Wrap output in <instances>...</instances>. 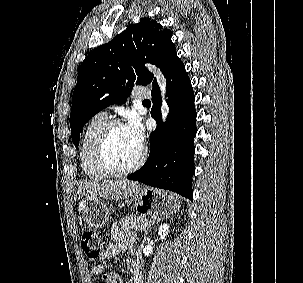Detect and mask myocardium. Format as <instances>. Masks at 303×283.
I'll return each instance as SVG.
<instances>
[{
  "instance_id": "obj_1",
  "label": "myocardium",
  "mask_w": 303,
  "mask_h": 283,
  "mask_svg": "<svg viewBox=\"0 0 303 283\" xmlns=\"http://www.w3.org/2000/svg\"><path fill=\"white\" fill-rule=\"evenodd\" d=\"M121 126H124V124L120 120L107 121L100 130L93 147V158L97 168L109 177H122L136 171L141 167L146 156L144 148L141 147L140 153L132 165L118 169L111 164L107 152L108 141L112 131Z\"/></svg>"
}]
</instances>
